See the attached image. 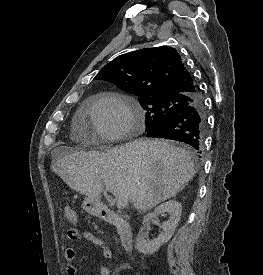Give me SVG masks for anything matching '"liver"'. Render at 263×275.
<instances>
[{
  "label": "liver",
  "instance_id": "1",
  "mask_svg": "<svg viewBox=\"0 0 263 275\" xmlns=\"http://www.w3.org/2000/svg\"><path fill=\"white\" fill-rule=\"evenodd\" d=\"M51 169L80 194L100 200L105 184L141 212L176 196L196 174L189 152L157 139H138L105 152L64 150Z\"/></svg>",
  "mask_w": 263,
  "mask_h": 275
}]
</instances>
